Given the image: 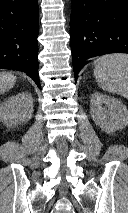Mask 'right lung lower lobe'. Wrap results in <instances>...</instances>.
Segmentation results:
<instances>
[{
  "mask_svg": "<svg viewBox=\"0 0 128 213\" xmlns=\"http://www.w3.org/2000/svg\"><path fill=\"white\" fill-rule=\"evenodd\" d=\"M39 10L37 0H0V68L38 75Z\"/></svg>",
  "mask_w": 128,
  "mask_h": 213,
  "instance_id": "right-lung-lower-lobe-1",
  "label": "right lung lower lobe"
}]
</instances>
